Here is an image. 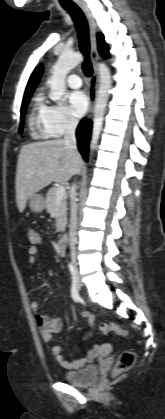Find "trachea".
Here are the masks:
<instances>
[{"label":"trachea","instance_id":"3493384b","mask_svg":"<svg viewBox=\"0 0 165 419\" xmlns=\"http://www.w3.org/2000/svg\"><path fill=\"white\" fill-rule=\"evenodd\" d=\"M64 9L71 15L75 23L80 49L85 57V61L83 63L82 69H83L84 74L87 77H90L93 73V69H92L91 62L89 60L90 43H89V32H88L87 20L82 10L76 5L64 6Z\"/></svg>","mask_w":165,"mask_h":419}]
</instances>
